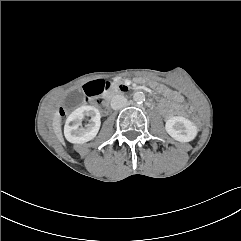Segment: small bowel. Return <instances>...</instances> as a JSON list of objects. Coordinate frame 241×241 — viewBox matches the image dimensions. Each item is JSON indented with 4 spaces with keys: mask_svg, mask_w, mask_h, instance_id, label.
<instances>
[{
    "mask_svg": "<svg viewBox=\"0 0 241 241\" xmlns=\"http://www.w3.org/2000/svg\"><path fill=\"white\" fill-rule=\"evenodd\" d=\"M182 98L179 95H172L168 104L164 106L167 115L178 112L181 108Z\"/></svg>",
    "mask_w": 241,
    "mask_h": 241,
    "instance_id": "c3829d8e",
    "label": "small bowel"
}]
</instances>
